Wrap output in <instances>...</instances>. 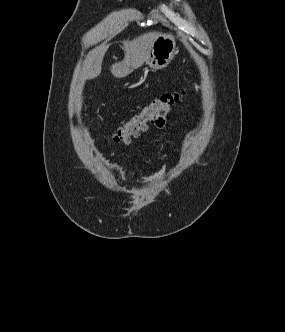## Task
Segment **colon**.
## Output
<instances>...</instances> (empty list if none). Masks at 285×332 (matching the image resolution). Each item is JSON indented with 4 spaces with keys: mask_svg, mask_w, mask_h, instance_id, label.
I'll return each instance as SVG.
<instances>
[{
    "mask_svg": "<svg viewBox=\"0 0 285 332\" xmlns=\"http://www.w3.org/2000/svg\"><path fill=\"white\" fill-rule=\"evenodd\" d=\"M181 99L182 93L175 92L164 94L152 100L113 133L112 142L116 144L129 143L132 138L138 137L150 124H153L150 122V115H168Z\"/></svg>",
    "mask_w": 285,
    "mask_h": 332,
    "instance_id": "obj_1",
    "label": "colon"
}]
</instances>
